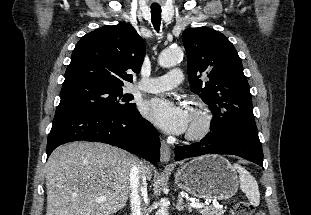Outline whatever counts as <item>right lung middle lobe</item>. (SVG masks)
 <instances>
[{
    "mask_svg": "<svg viewBox=\"0 0 311 215\" xmlns=\"http://www.w3.org/2000/svg\"><path fill=\"white\" fill-rule=\"evenodd\" d=\"M61 101L55 115L66 112H87L101 115H122L137 111L131 94H123L122 87L95 83H76L63 86Z\"/></svg>",
    "mask_w": 311,
    "mask_h": 215,
    "instance_id": "right-lung-middle-lobe-1",
    "label": "right lung middle lobe"
}]
</instances>
